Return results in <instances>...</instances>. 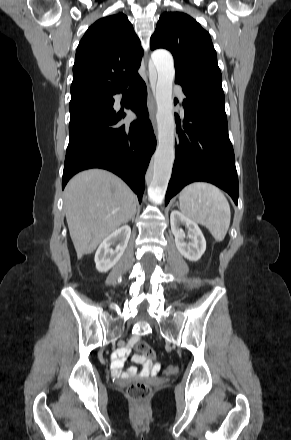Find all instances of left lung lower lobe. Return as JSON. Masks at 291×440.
Here are the masks:
<instances>
[{
	"mask_svg": "<svg viewBox=\"0 0 291 440\" xmlns=\"http://www.w3.org/2000/svg\"><path fill=\"white\" fill-rule=\"evenodd\" d=\"M183 87V86H182ZM186 99L183 127L175 115L178 141L165 205L184 186L210 182L225 190L238 204V177L228 136L225 99L183 87Z\"/></svg>",
	"mask_w": 291,
	"mask_h": 440,
	"instance_id": "1",
	"label": "left lung lower lobe"
}]
</instances>
